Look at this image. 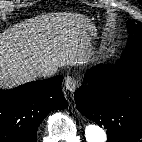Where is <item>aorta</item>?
Here are the masks:
<instances>
[{
  "instance_id": "obj_1",
  "label": "aorta",
  "mask_w": 142,
  "mask_h": 142,
  "mask_svg": "<svg viewBox=\"0 0 142 142\" xmlns=\"http://www.w3.org/2000/svg\"><path fill=\"white\" fill-rule=\"evenodd\" d=\"M85 138L87 142H105V131L95 124H88L85 128Z\"/></svg>"
}]
</instances>
